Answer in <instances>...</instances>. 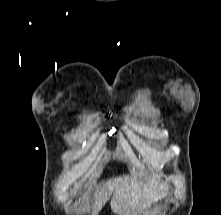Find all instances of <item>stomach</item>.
I'll list each match as a JSON object with an SVG mask.
<instances>
[{"instance_id":"1","label":"stomach","mask_w":221,"mask_h":215,"mask_svg":"<svg viewBox=\"0 0 221 215\" xmlns=\"http://www.w3.org/2000/svg\"><path fill=\"white\" fill-rule=\"evenodd\" d=\"M168 201V196L166 194L159 195L152 204H150L142 213V215H154L156 211L165 205Z\"/></svg>"}]
</instances>
